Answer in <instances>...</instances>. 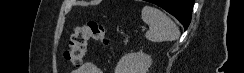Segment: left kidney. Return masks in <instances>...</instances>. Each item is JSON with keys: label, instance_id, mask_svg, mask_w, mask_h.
I'll return each mask as SVG.
<instances>
[{"label": "left kidney", "instance_id": "1", "mask_svg": "<svg viewBox=\"0 0 244 73\" xmlns=\"http://www.w3.org/2000/svg\"><path fill=\"white\" fill-rule=\"evenodd\" d=\"M151 56L142 51L125 54L117 63L115 73H147Z\"/></svg>", "mask_w": 244, "mask_h": 73}]
</instances>
